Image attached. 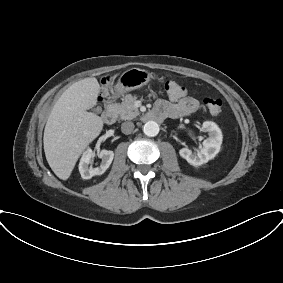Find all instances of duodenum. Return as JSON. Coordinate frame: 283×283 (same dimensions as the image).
Masks as SVG:
<instances>
[{
    "instance_id": "duodenum-1",
    "label": "duodenum",
    "mask_w": 283,
    "mask_h": 283,
    "mask_svg": "<svg viewBox=\"0 0 283 283\" xmlns=\"http://www.w3.org/2000/svg\"><path fill=\"white\" fill-rule=\"evenodd\" d=\"M114 101H115L114 97L108 98V102H107L108 106L106 107V109L104 110V112L102 114V120L106 124L113 123L115 118H116V111L112 106ZM168 117H169V113H167V112H157V111L153 110V111L145 114L144 119L150 120V121H155V122H161L165 118H168Z\"/></svg>"
}]
</instances>
